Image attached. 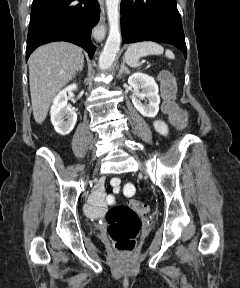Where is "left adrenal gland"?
Returning a JSON list of instances; mask_svg holds the SVG:
<instances>
[{
  "instance_id": "obj_1",
  "label": "left adrenal gland",
  "mask_w": 240,
  "mask_h": 288,
  "mask_svg": "<svg viewBox=\"0 0 240 288\" xmlns=\"http://www.w3.org/2000/svg\"><path fill=\"white\" fill-rule=\"evenodd\" d=\"M129 72L130 71H129L128 67H126V65H125V59L123 58L118 75L121 76L123 73L128 74Z\"/></svg>"
}]
</instances>
